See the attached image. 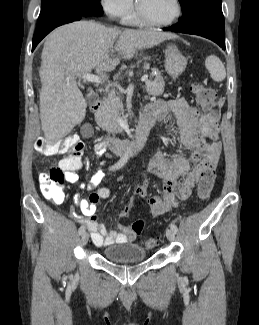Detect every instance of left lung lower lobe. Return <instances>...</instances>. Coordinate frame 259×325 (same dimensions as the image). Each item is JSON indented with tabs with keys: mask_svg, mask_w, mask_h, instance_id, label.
<instances>
[{
	"mask_svg": "<svg viewBox=\"0 0 259 325\" xmlns=\"http://www.w3.org/2000/svg\"><path fill=\"white\" fill-rule=\"evenodd\" d=\"M163 30L199 35L214 41L225 50L224 17L221 7L198 5L190 15Z\"/></svg>",
	"mask_w": 259,
	"mask_h": 325,
	"instance_id": "0a47b994",
	"label": "left lung lower lobe"
}]
</instances>
